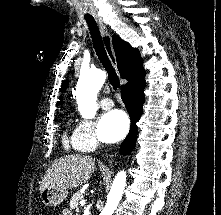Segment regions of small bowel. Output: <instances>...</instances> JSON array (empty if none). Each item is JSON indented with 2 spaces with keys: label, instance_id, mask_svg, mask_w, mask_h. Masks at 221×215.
Listing matches in <instances>:
<instances>
[{
  "label": "small bowel",
  "instance_id": "obj_1",
  "mask_svg": "<svg viewBox=\"0 0 221 215\" xmlns=\"http://www.w3.org/2000/svg\"><path fill=\"white\" fill-rule=\"evenodd\" d=\"M62 215H72L68 210L63 211Z\"/></svg>",
  "mask_w": 221,
  "mask_h": 215
}]
</instances>
